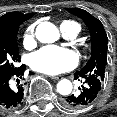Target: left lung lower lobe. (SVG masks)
<instances>
[{"label": "left lung lower lobe", "mask_w": 117, "mask_h": 117, "mask_svg": "<svg viewBox=\"0 0 117 117\" xmlns=\"http://www.w3.org/2000/svg\"><path fill=\"white\" fill-rule=\"evenodd\" d=\"M83 78L85 86L82 85L80 93L69 95L64 98L63 105L70 109L84 108L91 105L97 98L102 81L94 74H84L80 71L74 73V79Z\"/></svg>", "instance_id": "left-lung-lower-lobe-1"}]
</instances>
